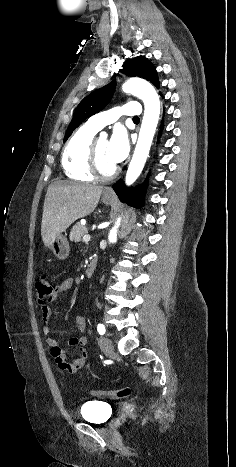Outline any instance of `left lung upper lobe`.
Segmentation results:
<instances>
[{
	"label": "left lung upper lobe",
	"mask_w": 236,
	"mask_h": 467,
	"mask_svg": "<svg viewBox=\"0 0 236 467\" xmlns=\"http://www.w3.org/2000/svg\"><path fill=\"white\" fill-rule=\"evenodd\" d=\"M123 72L128 76H138L153 83L159 88L157 72L153 64L142 56L132 60H126L123 65ZM116 82L112 81L108 85L100 88L86 96L78 105L71 123L68 126L63 142H65L73 130H75L88 117L101 111L111 100Z\"/></svg>",
	"instance_id": "1"
}]
</instances>
